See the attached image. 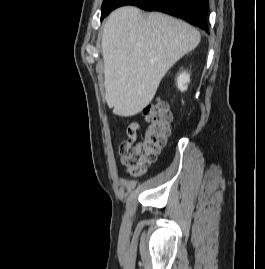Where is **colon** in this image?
Returning a JSON list of instances; mask_svg holds the SVG:
<instances>
[{
  "label": "colon",
  "mask_w": 265,
  "mask_h": 269,
  "mask_svg": "<svg viewBox=\"0 0 265 269\" xmlns=\"http://www.w3.org/2000/svg\"><path fill=\"white\" fill-rule=\"evenodd\" d=\"M143 115L147 127L142 138L137 140L139 126L131 123L120 145L123 163L132 176H141L146 166L156 160L170 133L172 113L166 102L156 100L144 109Z\"/></svg>",
  "instance_id": "5ec220e1"
}]
</instances>
